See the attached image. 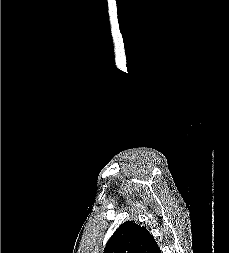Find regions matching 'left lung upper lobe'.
Masks as SVG:
<instances>
[{
	"mask_svg": "<svg viewBox=\"0 0 229 253\" xmlns=\"http://www.w3.org/2000/svg\"><path fill=\"white\" fill-rule=\"evenodd\" d=\"M158 248L145 227L126 221L111 236L104 253H156Z\"/></svg>",
	"mask_w": 229,
	"mask_h": 253,
	"instance_id": "1",
	"label": "left lung upper lobe"
}]
</instances>
